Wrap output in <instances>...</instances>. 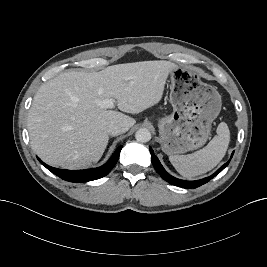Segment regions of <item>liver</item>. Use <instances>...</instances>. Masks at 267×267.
<instances>
[{
    "label": "liver",
    "instance_id": "liver-1",
    "mask_svg": "<svg viewBox=\"0 0 267 267\" xmlns=\"http://www.w3.org/2000/svg\"><path fill=\"white\" fill-rule=\"evenodd\" d=\"M173 68L169 61L156 60L61 73L33 98L27 121L32 149L45 163L64 169L98 162L109 140L107 125L118 123L126 132L136 122L101 108L98 101L112 98L122 112L138 114L161 100Z\"/></svg>",
    "mask_w": 267,
    "mask_h": 267
}]
</instances>
